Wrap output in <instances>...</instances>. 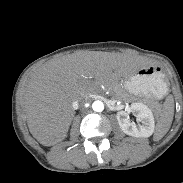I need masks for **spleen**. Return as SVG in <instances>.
<instances>
[{"label":"spleen","mask_w":183,"mask_h":183,"mask_svg":"<svg viewBox=\"0 0 183 183\" xmlns=\"http://www.w3.org/2000/svg\"><path fill=\"white\" fill-rule=\"evenodd\" d=\"M174 115V101L172 97H167L163 109L158 118L155 133L153 136L154 141H159L169 131Z\"/></svg>","instance_id":"spleen-1"}]
</instances>
